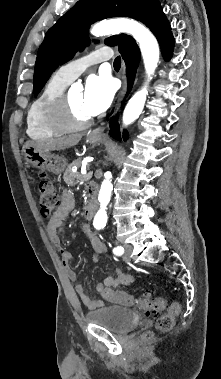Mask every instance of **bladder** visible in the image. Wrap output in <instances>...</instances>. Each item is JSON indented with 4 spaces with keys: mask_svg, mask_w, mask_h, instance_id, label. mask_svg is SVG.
I'll return each mask as SVG.
<instances>
[{
    "mask_svg": "<svg viewBox=\"0 0 221 379\" xmlns=\"http://www.w3.org/2000/svg\"><path fill=\"white\" fill-rule=\"evenodd\" d=\"M88 323L99 325L117 334H126L139 322L138 316L130 309L111 305L89 311L85 315Z\"/></svg>",
    "mask_w": 221,
    "mask_h": 379,
    "instance_id": "1",
    "label": "bladder"
}]
</instances>
